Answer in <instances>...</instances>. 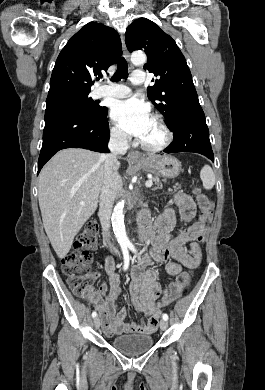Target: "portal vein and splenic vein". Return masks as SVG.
Masks as SVG:
<instances>
[{
    "instance_id": "portal-vein-and-splenic-vein-1",
    "label": "portal vein and splenic vein",
    "mask_w": 265,
    "mask_h": 390,
    "mask_svg": "<svg viewBox=\"0 0 265 390\" xmlns=\"http://www.w3.org/2000/svg\"><path fill=\"white\" fill-rule=\"evenodd\" d=\"M152 184H153L152 180H148V181H146L145 186L147 188H150L152 186ZM81 205H84V203H81Z\"/></svg>"
}]
</instances>
